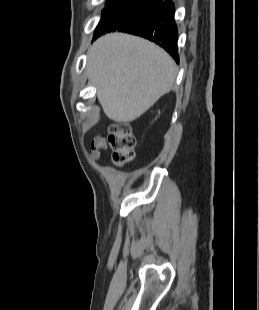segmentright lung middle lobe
<instances>
[{"label": "right lung middle lobe", "instance_id": "right-lung-middle-lobe-1", "mask_svg": "<svg viewBox=\"0 0 259 310\" xmlns=\"http://www.w3.org/2000/svg\"><path fill=\"white\" fill-rule=\"evenodd\" d=\"M159 3L158 0H111L102 11L94 38L115 31L135 17L147 12Z\"/></svg>", "mask_w": 259, "mask_h": 310}]
</instances>
